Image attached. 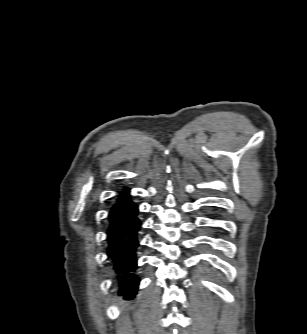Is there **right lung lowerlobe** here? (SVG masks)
<instances>
[{"mask_svg":"<svg viewBox=\"0 0 307 334\" xmlns=\"http://www.w3.org/2000/svg\"><path fill=\"white\" fill-rule=\"evenodd\" d=\"M138 205L129 198V189H124L109 211L107 228V255L119 286V295L132 298L137 291L139 278L136 248L141 221L137 217Z\"/></svg>","mask_w":307,"mask_h":334,"instance_id":"right-lung-lower-lobe-1","label":"right lung lower lobe"}]
</instances>
